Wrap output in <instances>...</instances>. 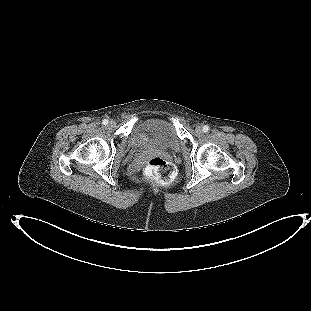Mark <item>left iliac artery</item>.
<instances>
[{
    "mask_svg": "<svg viewBox=\"0 0 311 311\" xmlns=\"http://www.w3.org/2000/svg\"><path fill=\"white\" fill-rule=\"evenodd\" d=\"M209 129H210V128H209V126H208V125H205V126L203 127V131H204V132H208V131H209Z\"/></svg>",
    "mask_w": 311,
    "mask_h": 311,
    "instance_id": "44dca946",
    "label": "left iliac artery"
}]
</instances>
